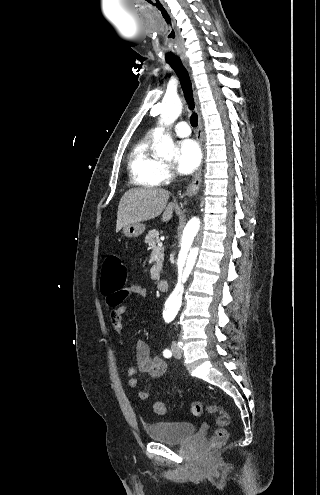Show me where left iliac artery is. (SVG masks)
<instances>
[{
    "mask_svg": "<svg viewBox=\"0 0 320 495\" xmlns=\"http://www.w3.org/2000/svg\"><path fill=\"white\" fill-rule=\"evenodd\" d=\"M166 322H170V320L167 319ZM163 355H164V357L169 358V357H171L172 353H171V351L169 349H165L163 351Z\"/></svg>",
    "mask_w": 320,
    "mask_h": 495,
    "instance_id": "44dca946",
    "label": "left iliac artery"
}]
</instances>
